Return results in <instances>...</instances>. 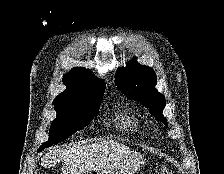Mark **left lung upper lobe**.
I'll list each match as a JSON object with an SVG mask.
<instances>
[{
	"label": "left lung upper lobe",
	"mask_w": 224,
	"mask_h": 174,
	"mask_svg": "<svg viewBox=\"0 0 224 174\" xmlns=\"http://www.w3.org/2000/svg\"><path fill=\"white\" fill-rule=\"evenodd\" d=\"M156 81L155 72L138 64L135 59L126 67L118 68L115 75V83L122 93L141 102L157 120L167 126V119L162 114L165 98L155 89Z\"/></svg>",
	"instance_id": "left-lung-upper-lobe-1"
}]
</instances>
